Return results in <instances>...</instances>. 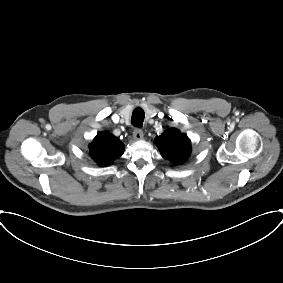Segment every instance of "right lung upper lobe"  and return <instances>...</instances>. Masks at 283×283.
I'll return each mask as SVG.
<instances>
[{
    "mask_svg": "<svg viewBox=\"0 0 283 283\" xmlns=\"http://www.w3.org/2000/svg\"><path fill=\"white\" fill-rule=\"evenodd\" d=\"M123 153V143L108 132H99L90 144L91 157L102 166L111 164Z\"/></svg>",
    "mask_w": 283,
    "mask_h": 283,
    "instance_id": "right-lung-upper-lobe-1",
    "label": "right lung upper lobe"
}]
</instances>
